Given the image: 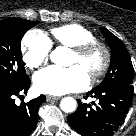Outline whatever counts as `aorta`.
I'll return each instance as SVG.
<instances>
[{
  "label": "aorta",
  "instance_id": "aorta-1",
  "mask_svg": "<svg viewBox=\"0 0 136 136\" xmlns=\"http://www.w3.org/2000/svg\"><path fill=\"white\" fill-rule=\"evenodd\" d=\"M65 55H66L65 49L58 47L51 52L50 59L57 66H66L67 62L65 60ZM76 105H77L76 100L72 97H65L61 100L60 103L61 109L66 113L75 111Z\"/></svg>",
  "mask_w": 136,
  "mask_h": 136
}]
</instances>
